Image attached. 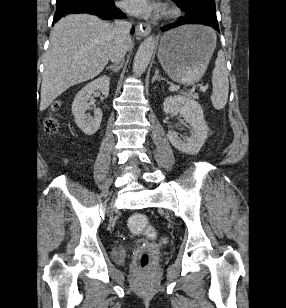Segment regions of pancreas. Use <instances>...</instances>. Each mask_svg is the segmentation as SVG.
I'll use <instances>...</instances> for the list:
<instances>
[{
    "label": "pancreas",
    "instance_id": "cf45deb5",
    "mask_svg": "<svg viewBox=\"0 0 286 308\" xmlns=\"http://www.w3.org/2000/svg\"><path fill=\"white\" fill-rule=\"evenodd\" d=\"M188 96L193 99H198V94L194 93V90L189 91Z\"/></svg>",
    "mask_w": 286,
    "mask_h": 308
}]
</instances>
